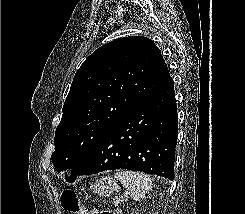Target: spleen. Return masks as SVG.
Returning a JSON list of instances; mask_svg holds the SVG:
<instances>
[{"label":"spleen","mask_w":245,"mask_h":214,"mask_svg":"<svg viewBox=\"0 0 245 214\" xmlns=\"http://www.w3.org/2000/svg\"><path fill=\"white\" fill-rule=\"evenodd\" d=\"M115 178L121 182L135 201L143 199L152 188V180L145 173L121 170L115 173Z\"/></svg>","instance_id":"spleen-1"}]
</instances>
